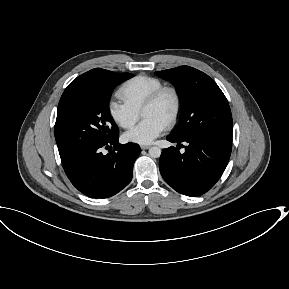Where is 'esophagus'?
<instances>
[{
  "instance_id": "34e87169",
  "label": "esophagus",
  "mask_w": 289,
  "mask_h": 289,
  "mask_svg": "<svg viewBox=\"0 0 289 289\" xmlns=\"http://www.w3.org/2000/svg\"><path fill=\"white\" fill-rule=\"evenodd\" d=\"M150 148V145H141V149L142 150H146V149H149Z\"/></svg>"
}]
</instances>
